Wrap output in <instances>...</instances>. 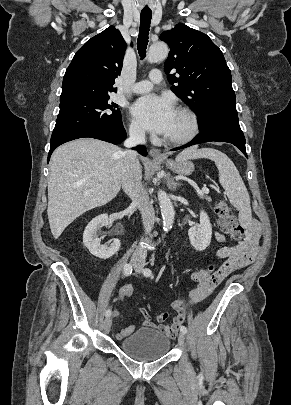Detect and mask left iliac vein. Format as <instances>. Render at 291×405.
Wrapping results in <instances>:
<instances>
[{"instance_id": "1", "label": "left iliac vein", "mask_w": 291, "mask_h": 405, "mask_svg": "<svg viewBox=\"0 0 291 405\" xmlns=\"http://www.w3.org/2000/svg\"><path fill=\"white\" fill-rule=\"evenodd\" d=\"M136 272L141 273L142 271V266H138L135 268ZM185 341H186V336L184 333L180 332L178 335V343L181 347H185Z\"/></svg>"}]
</instances>
